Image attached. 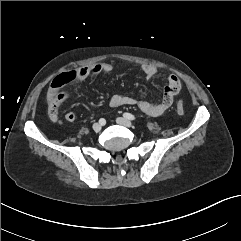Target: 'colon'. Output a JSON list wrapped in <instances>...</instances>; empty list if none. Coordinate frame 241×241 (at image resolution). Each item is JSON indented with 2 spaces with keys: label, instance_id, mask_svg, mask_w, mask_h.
<instances>
[{
  "label": "colon",
  "instance_id": "5ec220e1",
  "mask_svg": "<svg viewBox=\"0 0 241 241\" xmlns=\"http://www.w3.org/2000/svg\"><path fill=\"white\" fill-rule=\"evenodd\" d=\"M75 75L72 72H63L59 77L54 78L51 89H57L68 86L69 83L74 82ZM176 111L179 115L184 114L185 107L183 102H178L176 105Z\"/></svg>",
  "mask_w": 241,
  "mask_h": 241
}]
</instances>
